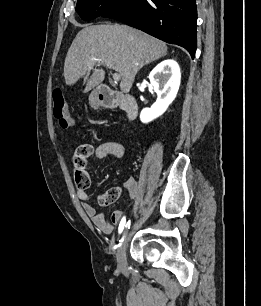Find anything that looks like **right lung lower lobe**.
I'll list each match as a JSON object with an SVG mask.
<instances>
[{"label": "right lung lower lobe", "mask_w": 261, "mask_h": 306, "mask_svg": "<svg viewBox=\"0 0 261 306\" xmlns=\"http://www.w3.org/2000/svg\"><path fill=\"white\" fill-rule=\"evenodd\" d=\"M101 16L122 21L165 42L180 45L192 58L195 56V0H124Z\"/></svg>", "instance_id": "obj_1"}]
</instances>
